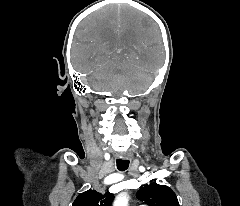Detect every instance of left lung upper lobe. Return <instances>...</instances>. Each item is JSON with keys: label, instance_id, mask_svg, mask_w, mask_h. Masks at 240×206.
<instances>
[{"label": "left lung upper lobe", "instance_id": "left-lung-upper-lobe-1", "mask_svg": "<svg viewBox=\"0 0 240 206\" xmlns=\"http://www.w3.org/2000/svg\"><path fill=\"white\" fill-rule=\"evenodd\" d=\"M137 197L149 206H180L175 193L168 186L156 183L142 187Z\"/></svg>", "mask_w": 240, "mask_h": 206}]
</instances>
